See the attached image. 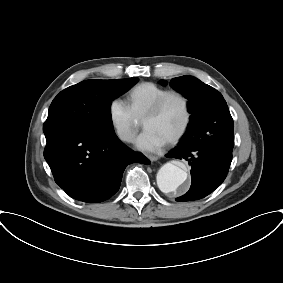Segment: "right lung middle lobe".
Segmentation results:
<instances>
[{
    "mask_svg": "<svg viewBox=\"0 0 283 283\" xmlns=\"http://www.w3.org/2000/svg\"><path fill=\"white\" fill-rule=\"evenodd\" d=\"M138 78L86 80L61 91L52 101L43 131L46 140L66 131L114 132L111 102Z\"/></svg>",
    "mask_w": 283,
    "mask_h": 283,
    "instance_id": "right-lung-middle-lobe-1",
    "label": "right lung middle lobe"
}]
</instances>
